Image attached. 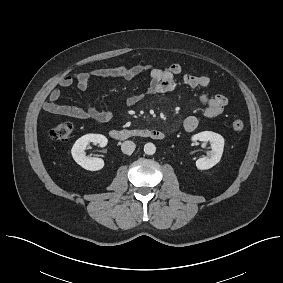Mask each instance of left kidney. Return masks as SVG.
I'll use <instances>...</instances> for the list:
<instances>
[{"mask_svg": "<svg viewBox=\"0 0 283 283\" xmlns=\"http://www.w3.org/2000/svg\"><path fill=\"white\" fill-rule=\"evenodd\" d=\"M192 141L210 142L211 151L208 156L199 158L196 161V167L199 170H207L215 166L221 159L224 149V138L215 132L204 131L192 136Z\"/></svg>", "mask_w": 283, "mask_h": 283, "instance_id": "5707ae66", "label": "left kidney"}]
</instances>
